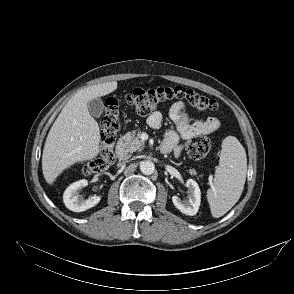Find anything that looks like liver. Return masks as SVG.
Segmentation results:
<instances>
[{"instance_id":"obj_1","label":"liver","mask_w":294,"mask_h":294,"mask_svg":"<svg viewBox=\"0 0 294 294\" xmlns=\"http://www.w3.org/2000/svg\"><path fill=\"white\" fill-rule=\"evenodd\" d=\"M117 89V82L87 87L77 92L53 123L43 149L42 171L48 184L75 163L90 160L100 151V130L87 103Z\"/></svg>"}]
</instances>
